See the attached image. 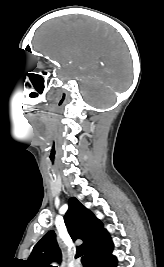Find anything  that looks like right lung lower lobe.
I'll return each mask as SVG.
<instances>
[{"mask_svg":"<svg viewBox=\"0 0 164 267\" xmlns=\"http://www.w3.org/2000/svg\"><path fill=\"white\" fill-rule=\"evenodd\" d=\"M113 248L97 255L89 261L88 267H116L117 259L112 255Z\"/></svg>","mask_w":164,"mask_h":267,"instance_id":"1","label":"right lung lower lobe"}]
</instances>
